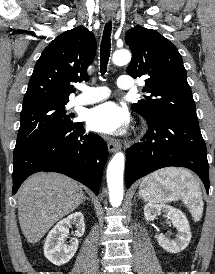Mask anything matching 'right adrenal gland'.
<instances>
[{"instance_id": "right-adrenal-gland-1", "label": "right adrenal gland", "mask_w": 215, "mask_h": 274, "mask_svg": "<svg viewBox=\"0 0 215 274\" xmlns=\"http://www.w3.org/2000/svg\"><path fill=\"white\" fill-rule=\"evenodd\" d=\"M88 200V198L84 195L83 200H82V204L84 203V201Z\"/></svg>"}]
</instances>
